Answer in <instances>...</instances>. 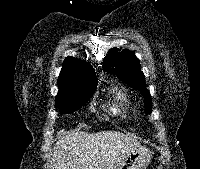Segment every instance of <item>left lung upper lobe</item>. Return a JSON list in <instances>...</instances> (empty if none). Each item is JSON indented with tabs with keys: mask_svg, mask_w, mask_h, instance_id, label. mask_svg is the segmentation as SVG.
<instances>
[{
	"mask_svg": "<svg viewBox=\"0 0 200 169\" xmlns=\"http://www.w3.org/2000/svg\"><path fill=\"white\" fill-rule=\"evenodd\" d=\"M103 69L106 72L116 75L120 80L125 81L134 89L140 90L145 98L144 106L146 113L152 112V99L149 91L146 89L144 74L141 72L138 58L132 51L113 48L109 50L104 58Z\"/></svg>",
	"mask_w": 200,
	"mask_h": 169,
	"instance_id": "obj_1",
	"label": "left lung upper lobe"
}]
</instances>
